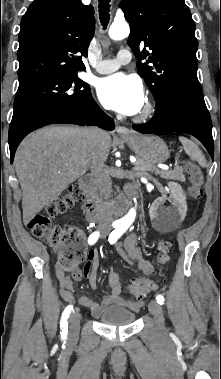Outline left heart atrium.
Here are the masks:
<instances>
[{"instance_id":"1","label":"left heart atrium","mask_w":221,"mask_h":379,"mask_svg":"<svg viewBox=\"0 0 221 379\" xmlns=\"http://www.w3.org/2000/svg\"><path fill=\"white\" fill-rule=\"evenodd\" d=\"M97 94L106 108L124 115L137 114L145 100L141 81L123 73L103 78L97 86Z\"/></svg>"}]
</instances>
